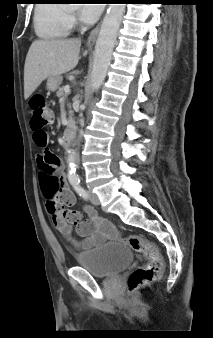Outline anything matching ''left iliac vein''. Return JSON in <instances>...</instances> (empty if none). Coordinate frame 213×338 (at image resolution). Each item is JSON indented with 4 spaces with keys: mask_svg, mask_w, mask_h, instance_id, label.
Here are the masks:
<instances>
[{
    "mask_svg": "<svg viewBox=\"0 0 213 338\" xmlns=\"http://www.w3.org/2000/svg\"><path fill=\"white\" fill-rule=\"evenodd\" d=\"M88 193H89L90 201L94 205H99L100 204V200H99L98 196L95 193L91 192V191H89Z\"/></svg>",
    "mask_w": 213,
    "mask_h": 338,
    "instance_id": "1",
    "label": "left iliac vein"
}]
</instances>
